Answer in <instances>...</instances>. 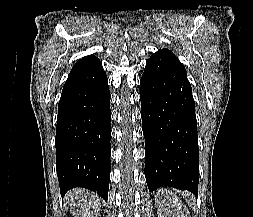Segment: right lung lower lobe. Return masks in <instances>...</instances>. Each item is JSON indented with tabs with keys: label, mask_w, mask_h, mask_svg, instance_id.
Wrapping results in <instances>:
<instances>
[{
	"label": "right lung lower lobe",
	"mask_w": 253,
	"mask_h": 217,
	"mask_svg": "<svg viewBox=\"0 0 253 217\" xmlns=\"http://www.w3.org/2000/svg\"><path fill=\"white\" fill-rule=\"evenodd\" d=\"M110 91L100 60L71 70L58 105L56 166L61 194L83 187L108 199Z\"/></svg>",
	"instance_id": "obj_1"
}]
</instances>
